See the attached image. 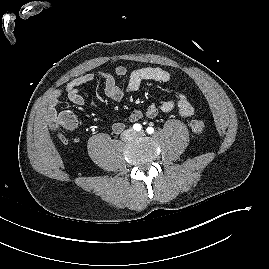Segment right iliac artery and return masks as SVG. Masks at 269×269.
Returning <instances> with one entry per match:
<instances>
[{
	"instance_id": "right-iliac-artery-1",
	"label": "right iliac artery",
	"mask_w": 269,
	"mask_h": 269,
	"mask_svg": "<svg viewBox=\"0 0 269 269\" xmlns=\"http://www.w3.org/2000/svg\"><path fill=\"white\" fill-rule=\"evenodd\" d=\"M133 129L136 131H140L142 129V126L140 124L136 123L133 125Z\"/></svg>"
}]
</instances>
